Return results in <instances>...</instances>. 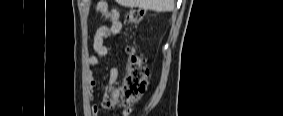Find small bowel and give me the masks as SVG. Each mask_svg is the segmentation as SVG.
Here are the masks:
<instances>
[{"label":"small bowel","instance_id":"1","mask_svg":"<svg viewBox=\"0 0 283 116\" xmlns=\"http://www.w3.org/2000/svg\"><path fill=\"white\" fill-rule=\"evenodd\" d=\"M95 9L101 17L105 20L110 21V25L100 26L93 39V51L94 54L88 57V64L90 66H99L102 63V59L108 55L109 47L106 44L105 40L107 38H116L119 36L122 30V21L120 18L119 11L114 8H109L107 3L104 1H98L95 4ZM119 70L116 67H112L109 70L108 74V86L110 89H114L115 85L118 82ZM97 86V81L95 79L91 80V97L93 88ZM91 114L96 116L98 114V106L92 105L90 107ZM122 115H128L127 112H123Z\"/></svg>","mask_w":283,"mask_h":116}]
</instances>
